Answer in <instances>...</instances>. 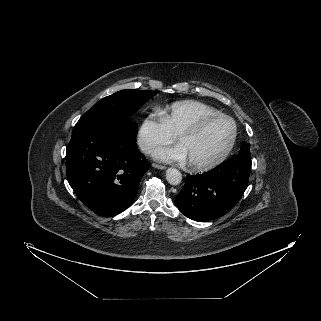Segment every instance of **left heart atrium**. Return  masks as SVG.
<instances>
[{"label": "left heart atrium", "mask_w": 321, "mask_h": 321, "mask_svg": "<svg viewBox=\"0 0 321 321\" xmlns=\"http://www.w3.org/2000/svg\"><path fill=\"white\" fill-rule=\"evenodd\" d=\"M153 157L168 163L184 162L188 160L187 151L181 143L170 148L157 149L153 152Z\"/></svg>", "instance_id": "obj_1"}]
</instances>
